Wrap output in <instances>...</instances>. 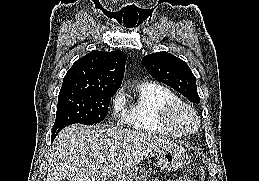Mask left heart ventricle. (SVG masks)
I'll list each match as a JSON object with an SVG mask.
<instances>
[{"label": "left heart ventricle", "instance_id": "b2bd125f", "mask_svg": "<svg viewBox=\"0 0 259 181\" xmlns=\"http://www.w3.org/2000/svg\"><path fill=\"white\" fill-rule=\"evenodd\" d=\"M180 119H181V121H182L185 125H187V126H190V125H191V118H190V116H189L186 112H182V113L180 114Z\"/></svg>", "mask_w": 259, "mask_h": 181}]
</instances>
